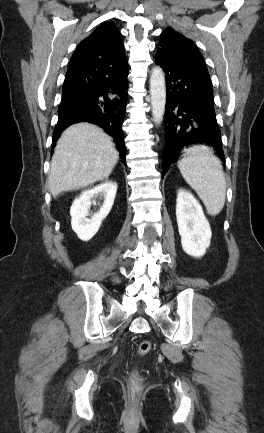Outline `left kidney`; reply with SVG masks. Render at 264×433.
I'll return each instance as SVG.
<instances>
[{
  "label": "left kidney",
  "instance_id": "obj_1",
  "mask_svg": "<svg viewBox=\"0 0 264 433\" xmlns=\"http://www.w3.org/2000/svg\"><path fill=\"white\" fill-rule=\"evenodd\" d=\"M176 217L183 250L202 257L210 246L211 228L199 202L184 189L177 192Z\"/></svg>",
  "mask_w": 264,
  "mask_h": 433
}]
</instances>
